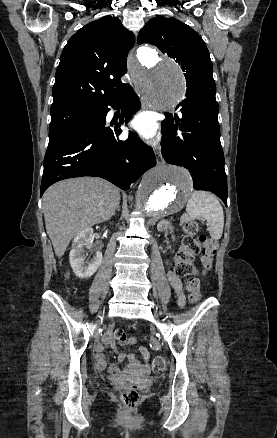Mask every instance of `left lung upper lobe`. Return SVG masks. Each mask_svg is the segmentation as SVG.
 Masks as SVG:
<instances>
[{"label":"left lung upper lobe","instance_id":"5c2ea615","mask_svg":"<svg viewBox=\"0 0 277 438\" xmlns=\"http://www.w3.org/2000/svg\"><path fill=\"white\" fill-rule=\"evenodd\" d=\"M137 43L155 45L176 60L186 78L187 98L215 96L213 65L208 49L200 35L190 26L175 18L156 16L140 30Z\"/></svg>","mask_w":277,"mask_h":438}]
</instances>
